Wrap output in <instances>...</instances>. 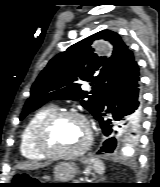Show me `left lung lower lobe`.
Instances as JSON below:
<instances>
[{"mask_svg":"<svg viewBox=\"0 0 160 187\" xmlns=\"http://www.w3.org/2000/svg\"><path fill=\"white\" fill-rule=\"evenodd\" d=\"M142 111V93L139 66L136 61L131 65L125 78L112 87L105 95L102 105L95 116L103 134L108 138L98 153H110L116 147L117 131L123 122L138 125Z\"/></svg>","mask_w":160,"mask_h":187,"instance_id":"obj_1","label":"left lung lower lobe"}]
</instances>
